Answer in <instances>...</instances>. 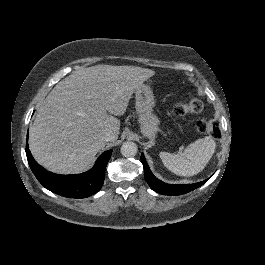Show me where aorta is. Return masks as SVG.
Segmentation results:
<instances>
[{
    "label": "aorta",
    "instance_id": "762f6f07",
    "mask_svg": "<svg viewBox=\"0 0 265 265\" xmlns=\"http://www.w3.org/2000/svg\"><path fill=\"white\" fill-rule=\"evenodd\" d=\"M121 154L125 157H133L138 151L137 144L131 141H126L121 146Z\"/></svg>",
    "mask_w": 265,
    "mask_h": 265
}]
</instances>
